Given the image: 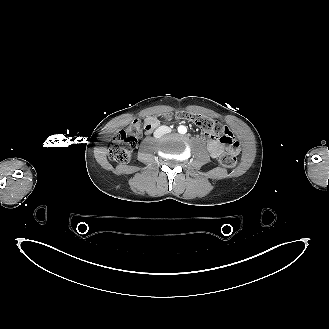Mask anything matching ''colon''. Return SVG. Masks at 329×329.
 Instances as JSON below:
<instances>
[{
    "mask_svg": "<svg viewBox=\"0 0 329 329\" xmlns=\"http://www.w3.org/2000/svg\"><path fill=\"white\" fill-rule=\"evenodd\" d=\"M162 116L173 117L171 114H164ZM175 117L189 120L197 125L206 134L213 135L217 138L219 137L220 142L227 147V152L220 156V162L227 168H234L236 166V151L238 150V143L234 139L233 135L227 132L226 127L213 118L202 114L179 112L175 115ZM163 120L169 121L170 119ZM149 128V124L143 126L139 120H134L125 129L119 131L110 143V158L120 163L127 162L131 157V152L136 145L137 139L141 137L144 129Z\"/></svg>",
    "mask_w": 329,
    "mask_h": 329,
    "instance_id": "colon-1",
    "label": "colon"
}]
</instances>
